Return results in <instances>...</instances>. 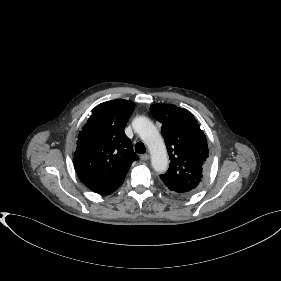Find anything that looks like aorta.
Returning a JSON list of instances; mask_svg holds the SVG:
<instances>
[{"label":"aorta","mask_w":281,"mask_h":281,"mask_svg":"<svg viewBox=\"0 0 281 281\" xmlns=\"http://www.w3.org/2000/svg\"><path fill=\"white\" fill-rule=\"evenodd\" d=\"M133 128L147 144L154 170L163 173L168 168V155L162 137L154 124L146 117H138L133 121Z\"/></svg>","instance_id":"762f6f07"}]
</instances>
